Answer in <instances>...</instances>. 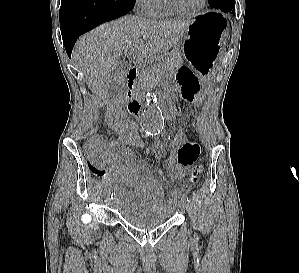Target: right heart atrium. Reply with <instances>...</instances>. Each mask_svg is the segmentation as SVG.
Listing matches in <instances>:
<instances>
[{
  "instance_id": "right-heart-atrium-1",
  "label": "right heart atrium",
  "mask_w": 299,
  "mask_h": 273,
  "mask_svg": "<svg viewBox=\"0 0 299 273\" xmlns=\"http://www.w3.org/2000/svg\"><path fill=\"white\" fill-rule=\"evenodd\" d=\"M158 1L159 0H135V4L142 13L147 14Z\"/></svg>"
}]
</instances>
